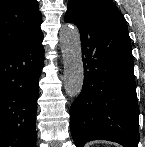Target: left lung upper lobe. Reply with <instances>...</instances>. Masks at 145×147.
I'll list each match as a JSON object with an SVG mask.
<instances>
[{
	"mask_svg": "<svg viewBox=\"0 0 145 147\" xmlns=\"http://www.w3.org/2000/svg\"><path fill=\"white\" fill-rule=\"evenodd\" d=\"M74 4H79L84 7H92V8L108 7L112 10L120 12L111 0H70L68 2L67 8L73 6Z\"/></svg>",
	"mask_w": 145,
	"mask_h": 147,
	"instance_id": "5c2ea615",
	"label": "left lung upper lobe"
}]
</instances>
